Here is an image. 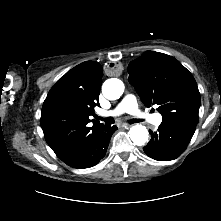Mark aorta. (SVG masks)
<instances>
[{
    "label": "aorta",
    "mask_w": 221,
    "mask_h": 221,
    "mask_svg": "<svg viewBox=\"0 0 221 221\" xmlns=\"http://www.w3.org/2000/svg\"><path fill=\"white\" fill-rule=\"evenodd\" d=\"M124 92V84L117 78L106 80L102 86L103 95L109 100H116ZM130 138L135 145L142 146L148 141V130L143 125H135L130 128Z\"/></svg>",
    "instance_id": "762f6f07"
}]
</instances>
